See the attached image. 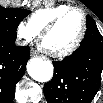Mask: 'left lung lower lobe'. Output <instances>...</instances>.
Returning <instances> with one entry per match:
<instances>
[{
  "label": "left lung lower lobe",
  "instance_id": "obj_1",
  "mask_svg": "<svg viewBox=\"0 0 103 103\" xmlns=\"http://www.w3.org/2000/svg\"><path fill=\"white\" fill-rule=\"evenodd\" d=\"M54 76L44 85L48 103H90L103 75V38L97 26L87 27L80 47L54 61Z\"/></svg>",
  "mask_w": 103,
  "mask_h": 103
}]
</instances>
